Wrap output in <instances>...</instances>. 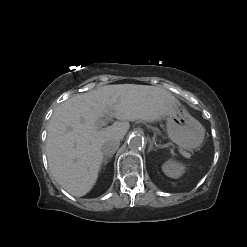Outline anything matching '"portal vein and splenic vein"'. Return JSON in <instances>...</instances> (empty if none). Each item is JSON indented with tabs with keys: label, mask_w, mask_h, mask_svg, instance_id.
<instances>
[{
	"label": "portal vein and splenic vein",
	"mask_w": 247,
	"mask_h": 247,
	"mask_svg": "<svg viewBox=\"0 0 247 247\" xmlns=\"http://www.w3.org/2000/svg\"><path fill=\"white\" fill-rule=\"evenodd\" d=\"M100 125L103 126L105 125L104 121H100ZM187 157V156H186Z\"/></svg>",
	"instance_id": "1"
}]
</instances>
